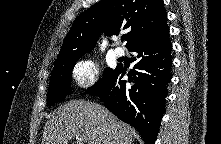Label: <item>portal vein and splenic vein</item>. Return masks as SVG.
Here are the masks:
<instances>
[{
    "label": "portal vein and splenic vein",
    "instance_id": "1",
    "mask_svg": "<svg viewBox=\"0 0 221 144\" xmlns=\"http://www.w3.org/2000/svg\"><path fill=\"white\" fill-rule=\"evenodd\" d=\"M77 144H83V142L79 139H77Z\"/></svg>",
    "mask_w": 221,
    "mask_h": 144
}]
</instances>
